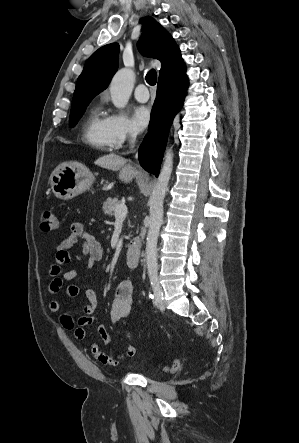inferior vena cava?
I'll use <instances>...</instances> for the list:
<instances>
[{
	"label": "inferior vena cava",
	"instance_id": "obj_1",
	"mask_svg": "<svg viewBox=\"0 0 299 443\" xmlns=\"http://www.w3.org/2000/svg\"><path fill=\"white\" fill-rule=\"evenodd\" d=\"M131 137H132L133 140H135L136 139V134L132 132L131 133Z\"/></svg>",
	"mask_w": 299,
	"mask_h": 443
}]
</instances>
